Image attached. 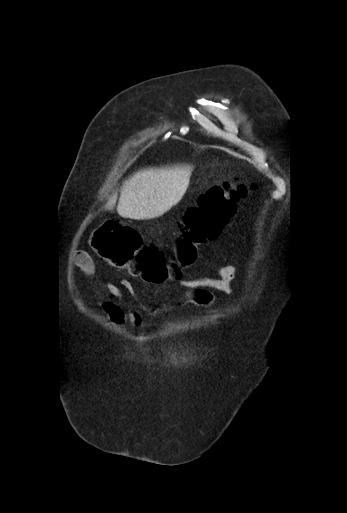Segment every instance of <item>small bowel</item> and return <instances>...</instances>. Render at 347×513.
<instances>
[{
	"instance_id": "small-bowel-1",
	"label": "small bowel",
	"mask_w": 347,
	"mask_h": 513,
	"mask_svg": "<svg viewBox=\"0 0 347 513\" xmlns=\"http://www.w3.org/2000/svg\"><path fill=\"white\" fill-rule=\"evenodd\" d=\"M73 264L83 274L89 277H95L96 270L91 258L84 252L77 253L73 258ZM239 269L234 265H219L215 268V276H199L192 279H183L182 276L174 278L179 281V286L184 291L185 302L201 308H212L216 299L214 291L222 292L226 295H235L238 293V287L235 282L238 278ZM121 285L131 295H134V288L128 279H123ZM110 297L122 298L121 289L114 285L106 284L102 296V315L109 321L123 325L129 323L134 328L143 327L145 317L139 311H126ZM160 308H153L147 311L149 316L160 314Z\"/></svg>"
}]
</instances>
